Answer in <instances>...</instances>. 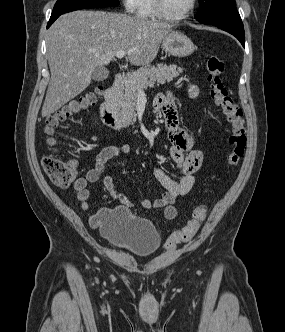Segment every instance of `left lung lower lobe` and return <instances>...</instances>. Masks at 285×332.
<instances>
[{"instance_id":"0a47b994","label":"left lung lower lobe","mask_w":285,"mask_h":332,"mask_svg":"<svg viewBox=\"0 0 285 332\" xmlns=\"http://www.w3.org/2000/svg\"><path fill=\"white\" fill-rule=\"evenodd\" d=\"M216 26L230 34L234 35L245 47V33L242 21L239 22H232V23H216V24H209Z\"/></svg>"}]
</instances>
